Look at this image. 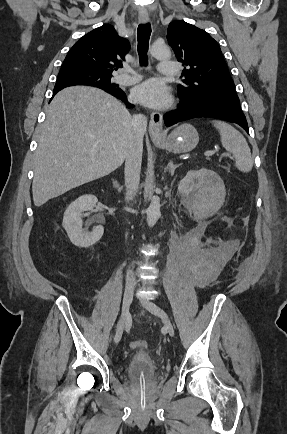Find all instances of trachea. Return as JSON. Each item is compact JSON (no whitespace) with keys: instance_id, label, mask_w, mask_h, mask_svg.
Masks as SVG:
<instances>
[{"instance_id":"obj_1","label":"trachea","mask_w":287,"mask_h":434,"mask_svg":"<svg viewBox=\"0 0 287 434\" xmlns=\"http://www.w3.org/2000/svg\"><path fill=\"white\" fill-rule=\"evenodd\" d=\"M151 35V25L149 23L140 24L137 29L138 38V54L141 66L148 64L147 51L149 46V39Z\"/></svg>"}]
</instances>
